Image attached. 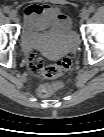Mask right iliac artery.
<instances>
[{"instance_id": "right-iliac-artery-1", "label": "right iliac artery", "mask_w": 104, "mask_h": 137, "mask_svg": "<svg viewBox=\"0 0 104 137\" xmlns=\"http://www.w3.org/2000/svg\"><path fill=\"white\" fill-rule=\"evenodd\" d=\"M3 11H4L5 13H9L10 9H9V7L6 6V7H4Z\"/></svg>"}]
</instances>
